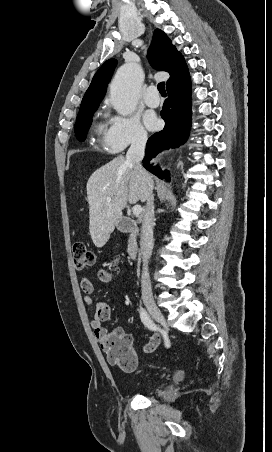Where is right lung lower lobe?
<instances>
[{
	"label": "right lung lower lobe",
	"instance_id": "98d812e1",
	"mask_svg": "<svg viewBox=\"0 0 272 452\" xmlns=\"http://www.w3.org/2000/svg\"><path fill=\"white\" fill-rule=\"evenodd\" d=\"M161 116L165 121L162 131L153 134L146 146L143 166L160 179L170 180V172L152 166L149 161L162 150L179 147L189 135L191 127V85L188 77L183 82L168 89Z\"/></svg>",
	"mask_w": 272,
	"mask_h": 452
}]
</instances>
